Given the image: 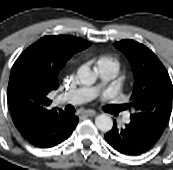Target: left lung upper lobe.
<instances>
[{"label":"left lung upper lobe","instance_id":"1","mask_svg":"<svg viewBox=\"0 0 173 170\" xmlns=\"http://www.w3.org/2000/svg\"><path fill=\"white\" fill-rule=\"evenodd\" d=\"M114 46L128 58L134 75L131 120L162 135L172 110L173 86L169 74L156 55L146 46L122 40Z\"/></svg>","mask_w":173,"mask_h":170}]
</instances>
